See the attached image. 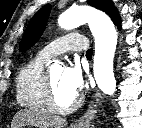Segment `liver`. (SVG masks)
Wrapping results in <instances>:
<instances>
[{
	"label": "liver",
	"mask_w": 142,
	"mask_h": 128,
	"mask_svg": "<svg viewBox=\"0 0 142 128\" xmlns=\"http://www.w3.org/2000/svg\"><path fill=\"white\" fill-rule=\"evenodd\" d=\"M25 125H31L37 128H64L66 120L44 110L24 109L15 114L11 128H21Z\"/></svg>",
	"instance_id": "6515ba94"
}]
</instances>
